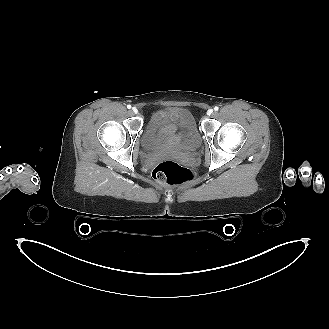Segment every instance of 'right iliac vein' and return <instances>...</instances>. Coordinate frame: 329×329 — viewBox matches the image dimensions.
<instances>
[{"instance_id":"63e3f726","label":"right iliac vein","mask_w":329,"mask_h":329,"mask_svg":"<svg viewBox=\"0 0 329 329\" xmlns=\"http://www.w3.org/2000/svg\"><path fill=\"white\" fill-rule=\"evenodd\" d=\"M132 111H133L135 114L138 113V109H137L136 107H133V108H132Z\"/></svg>"}]
</instances>
